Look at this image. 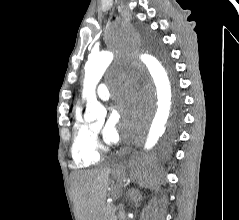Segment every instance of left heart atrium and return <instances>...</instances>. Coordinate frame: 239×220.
<instances>
[{"label": "left heart atrium", "mask_w": 239, "mask_h": 220, "mask_svg": "<svg viewBox=\"0 0 239 220\" xmlns=\"http://www.w3.org/2000/svg\"><path fill=\"white\" fill-rule=\"evenodd\" d=\"M130 102L128 97L120 95L116 99V104L112 107L108 120L103 128L102 135L107 143H116L120 139V130L131 134L136 126V117L125 119L124 114L130 113Z\"/></svg>", "instance_id": "1"}]
</instances>
